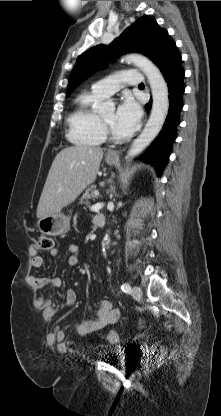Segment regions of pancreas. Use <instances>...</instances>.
Returning <instances> with one entry per match:
<instances>
[{"mask_svg":"<svg viewBox=\"0 0 221 416\" xmlns=\"http://www.w3.org/2000/svg\"><path fill=\"white\" fill-rule=\"evenodd\" d=\"M96 189L94 186L86 189L85 193L82 195L81 199H80V203L81 204H86L89 205V200L90 199H95L99 196L98 193H96Z\"/></svg>","mask_w":221,"mask_h":416,"instance_id":"cf45deb5","label":"pancreas"}]
</instances>
